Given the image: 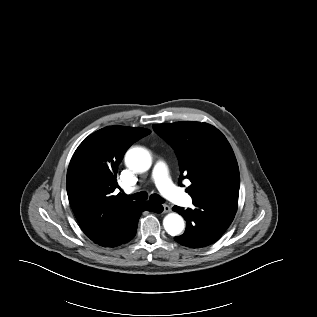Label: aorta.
<instances>
[{
  "instance_id": "obj_1",
  "label": "aorta",
  "mask_w": 317,
  "mask_h": 317,
  "mask_svg": "<svg viewBox=\"0 0 317 317\" xmlns=\"http://www.w3.org/2000/svg\"><path fill=\"white\" fill-rule=\"evenodd\" d=\"M127 167L137 173L149 170L152 164V157L148 150L142 147H134L127 151L125 155ZM163 226L171 236L179 235L185 228L183 218L177 213H169L163 219Z\"/></svg>"
}]
</instances>
